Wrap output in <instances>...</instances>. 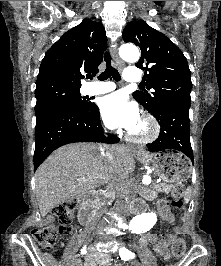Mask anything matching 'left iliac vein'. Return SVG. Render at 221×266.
<instances>
[{
  "mask_svg": "<svg viewBox=\"0 0 221 266\" xmlns=\"http://www.w3.org/2000/svg\"><path fill=\"white\" fill-rule=\"evenodd\" d=\"M135 266H141L139 262H135Z\"/></svg>",
  "mask_w": 221,
  "mask_h": 266,
  "instance_id": "obj_1",
  "label": "left iliac vein"
}]
</instances>
